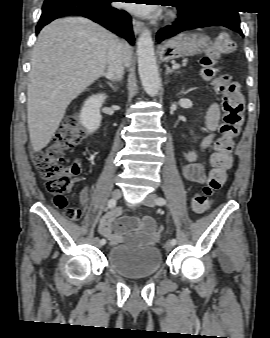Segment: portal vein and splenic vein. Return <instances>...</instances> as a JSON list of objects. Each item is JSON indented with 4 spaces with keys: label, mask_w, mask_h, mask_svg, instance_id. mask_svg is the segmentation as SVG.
Listing matches in <instances>:
<instances>
[{
    "label": "portal vein and splenic vein",
    "mask_w": 270,
    "mask_h": 338,
    "mask_svg": "<svg viewBox=\"0 0 270 338\" xmlns=\"http://www.w3.org/2000/svg\"><path fill=\"white\" fill-rule=\"evenodd\" d=\"M172 67H173V69H178V68H180V65L179 64H174Z\"/></svg>",
    "instance_id": "portal-vein-and-splenic-vein-1"
}]
</instances>
